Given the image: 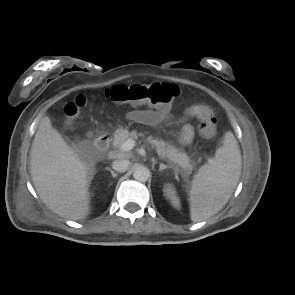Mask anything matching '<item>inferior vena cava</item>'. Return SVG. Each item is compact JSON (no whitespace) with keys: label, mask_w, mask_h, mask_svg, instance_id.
<instances>
[{"label":"inferior vena cava","mask_w":295,"mask_h":295,"mask_svg":"<svg viewBox=\"0 0 295 295\" xmlns=\"http://www.w3.org/2000/svg\"><path fill=\"white\" fill-rule=\"evenodd\" d=\"M129 166V161L126 159L123 160H115L112 163V168L117 172H125Z\"/></svg>","instance_id":"obj_1"}]
</instances>
